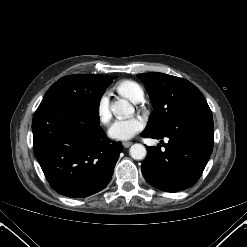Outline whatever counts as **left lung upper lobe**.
<instances>
[{
  "mask_svg": "<svg viewBox=\"0 0 247 247\" xmlns=\"http://www.w3.org/2000/svg\"><path fill=\"white\" fill-rule=\"evenodd\" d=\"M137 77L145 84L155 105L144 131L163 132L195 114L211 113L203 94L186 79L163 73H144Z\"/></svg>",
  "mask_w": 247,
  "mask_h": 247,
  "instance_id": "1",
  "label": "left lung upper lobe"
}]
</instances>
